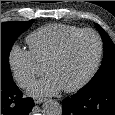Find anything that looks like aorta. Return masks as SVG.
I'll return each mask as SVG.
<instances>
[{"mask_svg":"<svg viewBox=\"0 0 115 115\" xmlns=\"http://www.w3.org/2000/svg\"><path fill=\"white\" fill-rule=\"evenodd\" d=\"M62 106L55 100H48L43 104L44 115H62Z\"/></svg>","mask_w":115,"mask_h":115,"instance_id":"aorta-1","label":"aorta"}]
</instances>
